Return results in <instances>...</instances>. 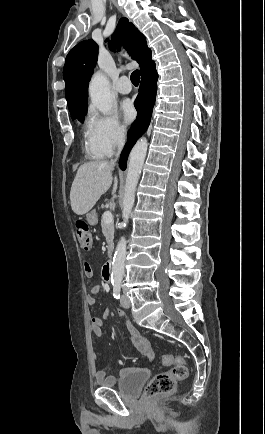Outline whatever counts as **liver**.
<instances>
[{"label": "liver", "mask_w": 265, "mask_h": 434, "mask_svg": "<svg viewBox=\"0 0 265 434\" xmlns=\"http://www.w3.org/2000/svg\"><path fill=\"white\" fill-rule=\"evenodd\" d=\"M114 164L110 162H88L80 166L70 192L71 208L78 216L87 214L100 196L109 190L113 180L112 194H115L118 180L112 178Z\"/></svg>", "instance_id": "6515ba94"}]
</instances>
